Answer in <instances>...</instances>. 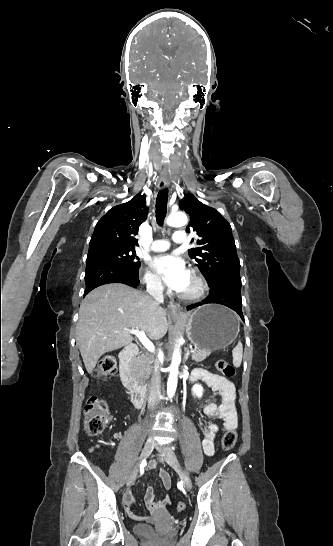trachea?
Listing matches in <instances>:
<instances>
[{"instance_id":"3493384b","label":"trachea","mask_w":333,"mask_h":546,"mask_svg":"<svg viewBox=\"0 0 333 546\" xmlns=\"http://www.w3.org/2000/svg\"><path fill=\"white\" fill-rule=\"evenodd\" d=\"M168 189L160 190L156 200V221L163 226L167 213Z\"/></svg>"}]
</instances>
